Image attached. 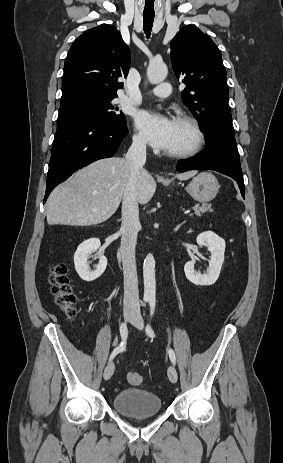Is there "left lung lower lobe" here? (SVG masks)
Wrapping results in <instances>:
<instances>
[{
    "mask_svg": "<svg viewBox=\"0 0 283 463\" xmlns=\"http://www.w3.org/2000/svg\"><path fill=\"white\" fill-rule=\"evenodd\" d=\"M239 158V153H234L221 145H207L200 155L178 161L176 169L179 172L210 169L230 176L238 182L241 194L245 198V187Z\"/></svg>",
    "mask_w": 283,
    "mask_h": 463,
    "instance_id": "left-lung-lower-lobe-1",
    "label": "left lung lower lobe"
}]
</instances>
